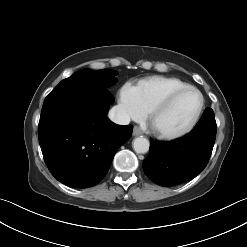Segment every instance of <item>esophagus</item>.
I'll list each match as a JSON object with an SVG mask.
<instances>
[{"label": "esophagus", "instance_id": "34e87169", "mask_svg": "<svg viewBox=\"0 0 247 247\" xmlns=\"http://www.w3.org/2000/svg\"><path fill=\"white\" fill-rule=\"evenodd\" d=\"M133 135L134 136H140L142 135V131L139 127L135 126L134 129H133Z\"/></svg>", "mask_w": 247, "mask_h": 247}]
</instances>
